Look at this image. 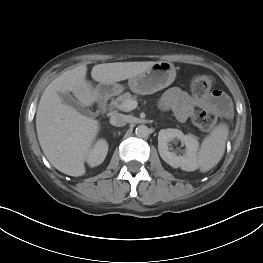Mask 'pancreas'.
Wrapping results in <instances>:
<instances>
[{"mask_svg": "<svg viewBox=\"0 0 263 263\" xmlns=\"http://www.w3.org/2000/svg\"><path fill=\"white\" fill-rule=\"evenodd\" d=\"M137 96L130 94V92H125L124 94L118 96L116 99L111 101V106L118 108L123 111H127L126 109L122 108V104L127 100H136Z\"/></svg>", "mask_w": 263, "mask_h": 263, "instance_id": "1", "label": "pancreas"}]
</instances>
